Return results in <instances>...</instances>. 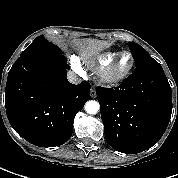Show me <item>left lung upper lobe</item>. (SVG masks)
<instances>
[{"mask_svg": "<svg viewBox=\"0 0 178 178\" xmlns=\"http://www.w3.org/2000/svg\"><path fill=\"white\" fill-rule=\"evenodd\" d=\"M128 46L136 64L134 72L151 66L160 65L139 44L134 42H128Z\"/></svg>", "mask_w": 178, "mask_h": 178, "instance_id": "1", "label": "left lung upper lobe"}]
</instances>
